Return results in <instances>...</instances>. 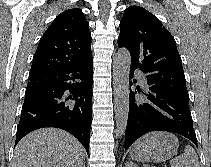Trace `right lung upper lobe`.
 Wrapping results in <instances>:
<instances>
[{
	"instance_id": "obj_1",
	"label": "right lung upper lobe",
	"mask_w": 211,
	"mask_h": 167,
	"mask_svg": "<svg viewBox=\"0 0 211 167\" xmlns=\"http://www.w3.org/2000/svg\"><path fill=\"white\" fill-rule=\"evenodd\" d=\"M89 24L78 9L58 15L43 34L33 57L29 78L77 64L92 58Z\"/></svg>"
}]
</instances>
